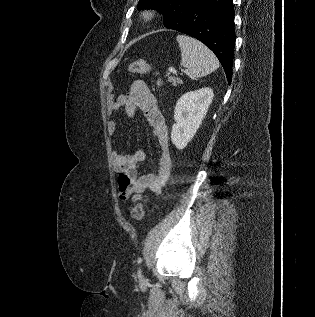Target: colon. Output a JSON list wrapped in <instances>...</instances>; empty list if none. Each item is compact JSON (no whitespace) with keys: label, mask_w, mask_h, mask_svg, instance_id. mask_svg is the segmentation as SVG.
<instances>
[{"label":"colon","mask_w":315,"mask_h":317,"mask_svg":"<svg viewBox=\"0 0 315 317\" xmlns=\"http://www.w3.org/2000/svg\"><path fill=\"white\" fill-rule=\"evenodd\" d=\"M129 71L134 74H148L152 73L154 75H157V72H155L152 68V66L145 60L138 59L133 61L129 66ZM162 84L161 77H158L157 79V85L160 86ZM145 215V206L143 202H137L132 210H131V217L136 221H141L144 218Z\"/></svg>","instance_id":"1"}]
</instances>
